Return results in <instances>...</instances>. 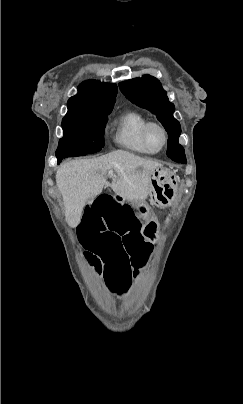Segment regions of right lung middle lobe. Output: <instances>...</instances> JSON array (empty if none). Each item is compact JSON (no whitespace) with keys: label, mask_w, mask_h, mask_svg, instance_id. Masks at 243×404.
Returning <instances> with one entry per match:
<instances>
[{"label":"right lung middle lobe","mask_w":243,"mask_h":404,"mask_svg":"<svg viewBox=\"0 0 243 404\" xmlns=\"http://www.w3.org/2000/svg\"><path fill=\"white\" fill-rule=\"evenodd\" d=\"M112 109L65 115L62 120L64 137L56 150L58 164L63 158L93 154L104 147V128Z\"/></svg>","instance_id":"dd1d6c3e"}]
</instances>
